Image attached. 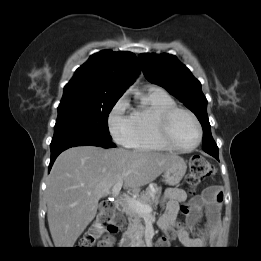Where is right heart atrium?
<instances>
[{"label": "right heart atrium", "instance_id": "d8ad5b80", "mask_svg": "<svg viewBox=\"0 0 261 261\" xmlns=\"http://www.w3.org/2000/svg\"><path fill=\"white\" fill-rule=\"evenodd\" d=\"M128 101L125 96L119 98L108 118L109 130L120 144L128 146L133 138L134 126L131 115L127 114Z\"/></svg>", "mask_w": 261, "mask_h": 261}]
</instances>
